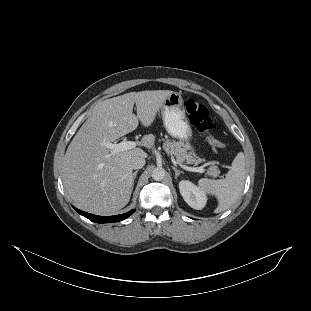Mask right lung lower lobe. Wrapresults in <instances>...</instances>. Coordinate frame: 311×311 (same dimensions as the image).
<instances>
[{
	"instance_id": "98d812e1",
	"label": "right lung lower lobe",
	"mask_w": 311,
	"mask_h": 311,
	"mask_svg": "<svg viewBox=\"0 0 311 311\" xmlns=\"http://www.w3.org/2000/svg\"><path fill=\"white\" fill-rule=\"evenodd\" d=\"M79 214L85 216L89 220L96 222V223H111V222H118L121 220L126 219L129 217L131 214H133L134 210H131L127 213L121 214V215H116V216H97L93 215L90 213H86L84 211L78 210L75 207H73Z\"/></svg>"
}]
</instances>
